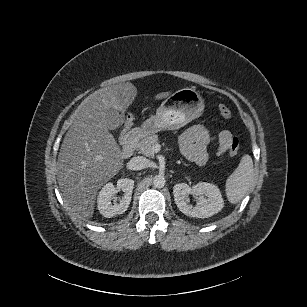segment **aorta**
<instances>
[{"mask_svg":"<svg viewBox=\"0 0 307 307\" xmlns=\"http://www.w3.org/2000/svg\"><path fill=\"white\" fill-rule=\"evenodd\" d=\"M153 183L156 188H163L166 183V179L163 175H156L153 178Z\"/></svg>","mask_w":307,"mask_h":307,"instance_id":"1","label":"aorta"}]
</instances>
